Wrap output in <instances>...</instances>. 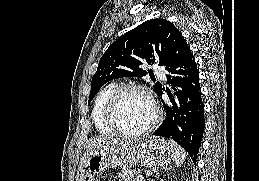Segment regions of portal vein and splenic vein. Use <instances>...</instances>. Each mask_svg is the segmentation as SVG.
<instances>
[{
	"mask_svg": "<svg viewBox=\"0 0 259 181\" xmlns=\"http://www.w3.org/2000/svg\"><path fill=\"white\" fill-rule=\"evenodd\" d=\"M143 176L142 175H139L137 178H136V181H143Z\"/></svg>",
	"mask_w": 259,
	"mask_h": 181,
	"instance_id": "obj_1",
	"label": "portal vein and splenic vein"
}]
</instances>
